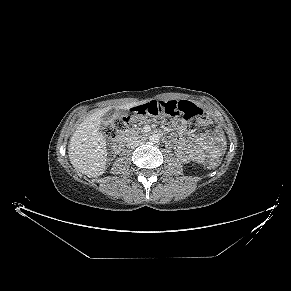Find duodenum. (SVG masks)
<instances>
[{"label": "duodenum", "mask_w": 291, "mask_h": 291, "mask_svg": "<svg viewBox=\"0 0 291 291\" xmlns=\"http://www.w3.org/2000/svg\"><path fill=\"white\" fill-rule=\"evenodd\" d=\"M130 137L131 135H123V136L118 137L113 143L114 151L115 152L121 151Z\"/></svg>", "instance_id": "obj_1"}]
</instances>
